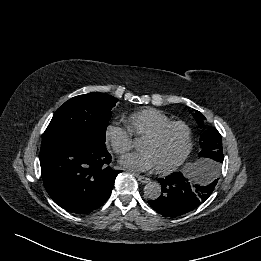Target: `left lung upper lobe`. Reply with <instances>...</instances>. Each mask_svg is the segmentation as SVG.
Returning a JSON list of instances; mask_svg holds the SVG:
<instances>
[{"instance_id":"5c2ea615","label":"left lung upper lobe","mask_w":261,"mask_h":261,"mask_svg":"<svg viewBox=\"0 0 261 261\" xmlns=\"http://www.w3.org/2000/svg\"><path fill=\"white\" fill-rule=\"evenodd\" d=\"M193 116L198 124H201L202 120L205 119L199 111H196ZM200 141L202 150L199 153V157L207 158L206 163L219 168L223 162L222 138L220 133L215 128H210L201 135Z\"/></svg>"}]
</instances>
